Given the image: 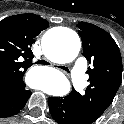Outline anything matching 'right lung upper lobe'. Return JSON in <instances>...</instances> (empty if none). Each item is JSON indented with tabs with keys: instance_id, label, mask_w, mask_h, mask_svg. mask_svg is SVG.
Masks as SVG:
<instances>
[{
	"instance_id": "obj_1",
	"label": "right lung upper lobe",
	"mask_w": 124,
	"mask_h": 124,
	"mask_svg": "<svg viewBox=\"0 0 124 124\" xmlns=\"http://www.w3.org/2000/svg\"><path fill=\"white\" fill-rule=\"evenodd\" d=\"M48 27L36 14H19L0 21V94L25 88L23 76L34 57V38Z\"/></svg>"
}]
</instances>
